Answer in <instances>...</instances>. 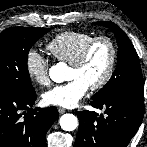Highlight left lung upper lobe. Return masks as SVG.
<instances>
[{"instance_id": "1", "label": "left lung upper lobe", "mask_w": 147, "mask_h": 147, "mask_svg": "<svg viewBox=\"0 0 147 147\" xmlns=\"http://www.w3.org/2000/svg\"><path fill=\"white\" fill-rule=\"evenodd\" d=\"M110 28L119 46L118 64L107 84L97 92L93 100H109L130 97L144 101V82L136 50L128 36L113 22H97Z\"/></svg>"}]
</instances>
